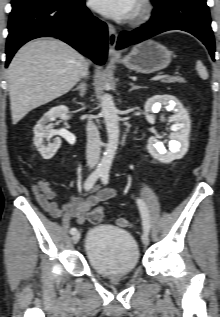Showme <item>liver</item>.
<instances>
[{
  "label": "liver",
  "instance_id": "liver-1",
  "mask_svg": "<svg viewBox=\"0 0 220 317\" xmlns=\"http://www.w3.org/2000/svg\"><path fill=\"white\" fill-rule=\"evenodd\" d=\"M86 66L80 53L57 39H36L21 47L7 72L13 124L70 91Z\"/></svg>",
  "mask_w": 220,
  "mask_h": 317
}]
</instances>
